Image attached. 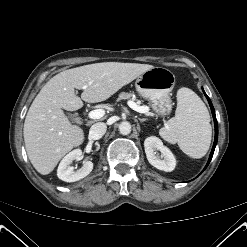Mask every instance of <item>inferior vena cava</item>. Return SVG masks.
<instances>
[{
	"mask_svg": "<svg viewBox=\"0 0 247 247\" xmlns=\"http://www.w3.org/2000/svg\"><path fill=\"white\" fill-rule=\"evenodd\" d=\"M107 130V125L103 122L95 123L91 126L89 131V137L94 140L100 139Z\"/></svg>",
	"mask_w": 247,
	"mask_h": 247,
	"instance_id": "1",
	"label": "inferior vena cava"
}]
</instances>
